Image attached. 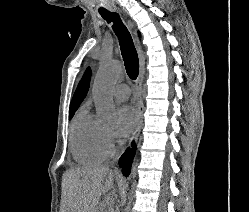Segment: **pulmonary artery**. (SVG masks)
Masks as SVG:
<instances>
[{"label":"pulmonary artery","instance_id":"e3ab8cb5","mask_svg":"<svg viewBox=\"0 0 249 212\" xmlns=\"http://www.w3.org/2000/svg\"><path fill=\"white\" fill-rule=\"evenodd\" d=\"M95 56H99V54H94ZM130 88L126 84H117L113 89V94L117 99L125 100L130 96Z\"/></svg>","mask_w":249,"mask_h":212}]
</instances>
